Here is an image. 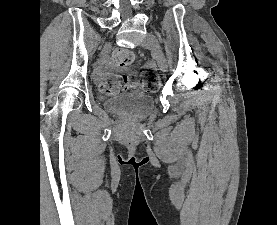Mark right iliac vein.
Returning <instances> with one entry per match:
<instances>
[{
	"instance_id": "1",
	"label": "right iliac vein",
	"mask_w": 277,
	"mask_h": 225,
	"mask_svg": "<svg viewBox=\"0 0 277 225\" xmlns=\"http://www.w3.org/2000/svg\"><path fill=\"white\" fill-rule=\"evenodd\" d=\"M110 48V45L107 44L105 47H104V50H103V54Z\"/></svg>"
}]
</instances>
